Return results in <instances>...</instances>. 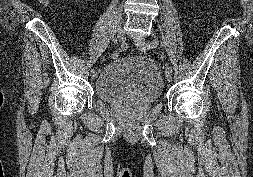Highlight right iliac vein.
I'll use <instances>...</instances> for the list:
<instances>
[{
    "label": "right iliac vein",
    "mask_w": 253,
    "mask_h": 177,
    "mask_svg": "<svg viewBox=\"0 0 253 177\" xmlns=\"http://www.w3.org/2000/svg\"><path fill=\"white\" fill-rule=\"evenodd\" d=\"M117 37L119 40L123 41V37H124V30L121 26L118 27V30H117ZM98 76V72L96 71L95 73H91V79L92 80H95Z\"/></svg>",
    "instance_id": "63e3f726"
}]
</instances>
